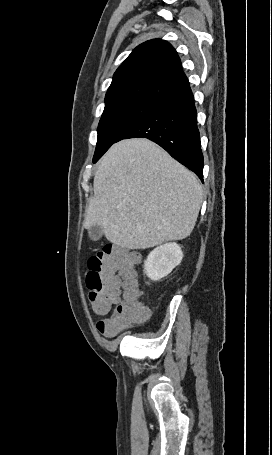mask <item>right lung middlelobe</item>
<instances>
[{
  "label": "right lung middle lobe",
  "mask_w": 272,
  "mask_h": 455,
  "mask_svg": "<svg viewBox=\"0 0 272 455\" xmlns=\"http://www.w3.org/2000/svg\"><path fill=\"white\" fill-rule=\"evenodd\" d=\"M164 102L151 98H129L105 105L98 125L95 163L130 127L150 115Z\"/></svg>",
  "instance_id": "right-lung-middle-lobe-1"
}]
</instances>
